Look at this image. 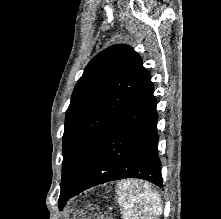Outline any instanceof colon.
Segmentation results:
<instances>
[{"mask_svg": "<svg viewBox=\"0 0 221 219\" xmlns=\"http://www.w3.org/2000/svg\"><path fill=\"white\" fill-rule=\"evenodd\" d=\"M74 219H114L109 214L100 211L93 205H88L80 209Z\"/></svg>", "mask_w": 221, "mask_h": 219, "instance_id": "5ec220e1", "label": "colon"}]
</instances>
